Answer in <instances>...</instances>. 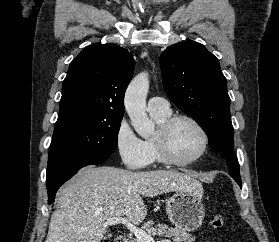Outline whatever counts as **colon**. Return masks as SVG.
<instances>
[{"label":"colon","mask_w":279,"mask_h":242,"mask_svg":"<svg viewBox=\"0 0 279 242\" xmlns=\"http://www.w3.org/2000/svg\"><path fill=\"white\" fill-rule=\"evenodd\" d=\"M211 224L215 229H222L225 226V221L220 214H215L211 220Z\"/></svg>","instance_id":"1"}]
</instances>
